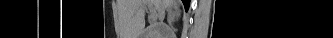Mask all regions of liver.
I'll return each instance as SVG.
<instances>
[{"label":"liver","instance_id":"liver-1","mask_svg":"<svg viewBox=\"0 0 333 38\" xmlns=\"http://www.w3.org/2000/svg\"><path fill=\"white\" fill-rule=\"evenodd\" d=\"M123 4L121 9L123 11H128L133 7V3ZM146 6L152 7L154 10H157L160 16L161 6L166 8H178L176 0H136L134 7V34L135 36H140L145 27V8Z\"/></svg>","mask_w":333,"mask_h":38}]
</instances>
